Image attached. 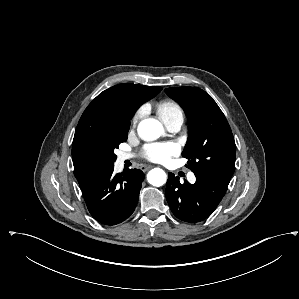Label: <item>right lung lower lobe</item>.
I'll return each instance as SVG.
<instances>
[{"instance_id":"98d812e1","label":"right lung lower lobe","mask_w":299,"mask_h":299,"mask_svg":"<svg viewBox=\"0 0 299 299\" xmlns=\"http://www.w3.org/2000/svg\"><path fill=\"white\" fill-rule=\"evenodd\" d=\"M114 166L80 185L90 214L100 223L115 225L133 213L144 179L139 169L113 175Z\"/></svg>"}]
</instances>
